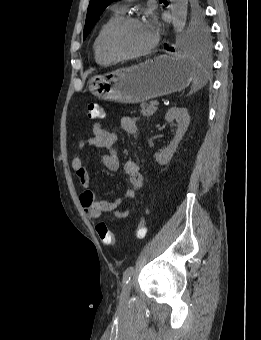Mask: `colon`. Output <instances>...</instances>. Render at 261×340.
<instances>
[{"instance_id":"colon-1","label":"colon","mask_w":261,"mask_h":340,"mask_svg":"<svg viewBox=\"0 0 261 340\" xmlns=\"http://www.w3.org/2000/svg\"><path fill=\"white\" fill-rule=\"evenodd\" d=\"M88 117L91 119L102 118L105 116V110L98 104L91 103L87 107ZM97 234L104 245H113L116 241L115 235L109 230L104 223L96 225ZM146 234L143 216L140 217L139 222L134 228L133 235L137 238H143Z\"/></svg>"}]
</instances>
